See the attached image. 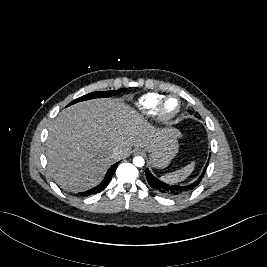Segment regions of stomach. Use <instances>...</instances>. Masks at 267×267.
<instances>
[{
    "label": "stomach",
    "instance_id": "obj_1",
    "mask_svg": "<svg viewBox=\"0 0 267 267\" xmlns=\"http://www.w3.org/2000/svg\"><path fill=\"white\" fill-rule=\"evenodd\" d=\"M144 150L149 154L150 163L153 167L164 168L168 166L179 150L175 131L169 130V133L157 147Z\"/></svg>",
    "mask_w": 267,
    "mask_h": 267
}]
</instances>
